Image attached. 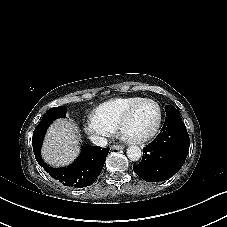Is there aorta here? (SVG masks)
I'll return each instance as SVG.
<instances>
[{"label": "aorta", "instance_id": "aorta-1", "mask_svg": "<svg viewBox=\"0 0 227 227\" xmlns=\"http://www.w3.org/2000/svg\"><path fill=\"white\" fill-rule=\"evenodd\" d=\"M142 151L138 146L131 145L127 149V156L131 161H138L141 158Z\"/></svg>", "mask_w": 227, "mask_h": 227}]
</instances>
